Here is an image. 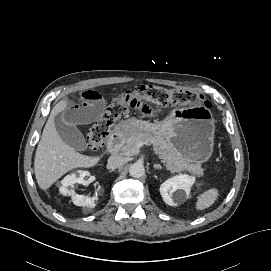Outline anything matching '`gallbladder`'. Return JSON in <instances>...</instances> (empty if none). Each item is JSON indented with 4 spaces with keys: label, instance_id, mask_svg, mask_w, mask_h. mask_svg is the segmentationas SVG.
Listing matches in <instances>:
<instances>
[{
    "label": "gallbladder",
    "instance_id": "gallbladder-1",
    "mask_svg": "<svg viewBox=\"0 0 271 271\" xmlns=\"http://www.w3.org/2000/svg\"><path fill=\"white\" fill-rule=\"evenodd\" d=\"M55 125L59 136L66 144L78 151H85L87 149L88 144L82 133L75 125L67 123L63 115L55 117Z\"/></svg>",
    "mask_w": 271,
    "mask_h": 271
}]
</instances>
